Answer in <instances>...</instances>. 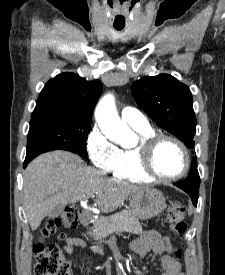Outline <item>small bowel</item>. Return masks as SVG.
I'll use <instances>...</instances> for the list:
<instances>
[{
    "label": "small bowel",
    "mask_w": 225,
    "mask_h": 275,
    "mask_svg": "<svg viewBox=\"0 0 225 275\" xmlns=\"http://www.w3.org/2000/svg\"><path fill=\"white\" fill-rule=\"evenodd\" d=\"M86 243L79 237H69L63 246V251L68 255H73L78 248H85ZM167 246L164 237L156 231H146L131 244V250L139 255L145 256L153 252L160 256L163 266L161 275H184L180 264L167 254Z\"/></svg>",
    "instance_id": "1"
}]
</instances>
